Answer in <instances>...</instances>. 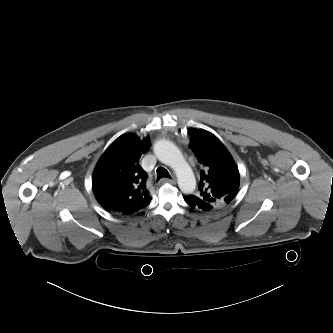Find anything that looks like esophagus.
<instances>
[{
	"label": "esophagus",
	"mask_w": 333,
	"mask_h": 333,
	"mask_svg": "<svg viewBox=\"0 0 333 333\" xmlns=\"http://www.w3.org/2000/svg\"><path fill=\"white\" fill-rule=\"evenodd\" d=\"M160 183H170V184H175L176 183V179L172 178V179H168V178H162L160 180Z\"/></svg>",
	"instance_id": "1"
}]
</instances>
